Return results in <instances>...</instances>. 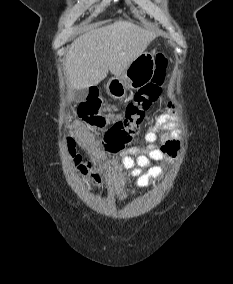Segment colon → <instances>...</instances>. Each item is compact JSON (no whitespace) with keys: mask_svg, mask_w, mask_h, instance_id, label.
I'll list each match as a JSON object with an SVG mask.
<instances>
[{"mask_svg":"<svg viewBox=\"0 0 233 284\" xmlns=\"http://www.w3.org/2000/svg\"><path fill=\"white\" fill-rule=\"evenodd\" d=\"M168 68V58L163 52L154 56L153 75L149 82L137 90L125 108L124 117L114 122L103 136V147L106 152L117 153L129 144L139 133L146 111L155 103L162 90ZM80 118L95 130H103L106 124L101 113V101L95 96H89L78 109ZM74 165L85 174L88 164L73 151V140L68 138Z\"/></svg>","mask_w":233,"mask_h":284,"instance_id":"colon-1","label":"colon"}]
</instances>
